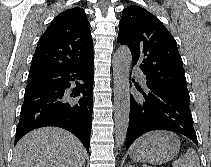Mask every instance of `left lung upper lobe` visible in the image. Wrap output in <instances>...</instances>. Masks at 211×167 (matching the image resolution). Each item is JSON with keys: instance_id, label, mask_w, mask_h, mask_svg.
Here are the masks:
<instances>
[{"instance_id": "1", "label": "left lung upper lobe", "mask_w": 211, "mask_h": 167, "mask_svg": "<svg viewBox=\"0 0 211 167\" xmlns=\"http://www.w3.org/2000/svg\"><path fill=\"white\" fill-rule=\"evenodd\" d=\"M117 41L129 47L133 66L140 64L147 87L190 101L177 43L157 17L139 6H128L119 22Z\"/></svg>"}]
</instances>
